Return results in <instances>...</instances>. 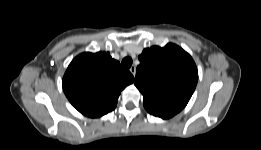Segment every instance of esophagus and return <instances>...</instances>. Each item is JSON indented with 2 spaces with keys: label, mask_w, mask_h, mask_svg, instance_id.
I'll list each match as a JSON object with an SVG mask.
<instances>
[{
  "label": "esophagus",
  "mask_w": 261,
  "mask_h": 150,
  "mask_svg": "<svg viewBox=\"0 0 261 150\" xmlns=\"http://www.w3.org/2000/svg\"><path fill=\"white\" fill-rule=\"evenodd\" d=\"M129 71L132 73L133 76H135L136 67H135V66H131V67L129 68Z\"/></svg>",
  "instance_id": "esophagus-1"
}]
</instances>
